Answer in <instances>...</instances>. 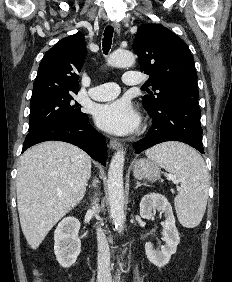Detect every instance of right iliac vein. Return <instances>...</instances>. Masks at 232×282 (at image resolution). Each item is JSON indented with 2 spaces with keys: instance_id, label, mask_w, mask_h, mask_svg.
<instances>
[{
  "instance_id": "63e3f726",
  "label": "right iliac vein",
  "mask_w": 232,
  "mask_h": 282,
  "mask_svg": "<svg viewBox=\"0 0 232 282\" xmlns=\"http://www.w3.org/2000/svg\"><path fill=\"white\" fill-rule=\"evenodd\" d=\"M98 282H107V281H98Z\"/></svg>"
}]
</instances>
